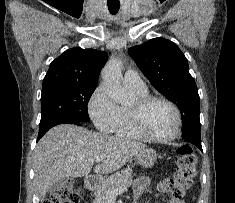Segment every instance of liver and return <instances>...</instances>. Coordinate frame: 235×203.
<instances>
[{"label": "liver", "instance_id": "6515ba94", "mask_svg": "<svg viewBox=\"0 0 235 203\" xmlns=\"http://www.w3.org/2000/svg\"><path fill=\"white\" fill-rule=\"evenodd\" d=\"M146 145L131 139L92 132L83 127L61 124L50 129L38 142L34 152V183L39 198L66 178L87 176L97 157L98 176L122 168Z\"/></svg>", "mask_w": 235, "mask_h": 203}]
</instances>
